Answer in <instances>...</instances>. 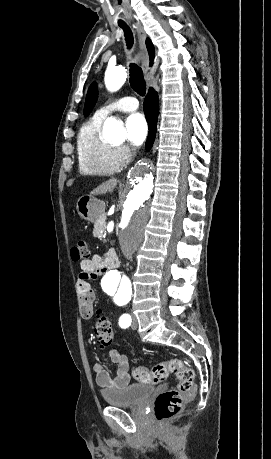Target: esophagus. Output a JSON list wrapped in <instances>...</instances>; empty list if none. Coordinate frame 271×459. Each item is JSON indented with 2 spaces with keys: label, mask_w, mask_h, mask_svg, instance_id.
Here are the masks:
<instances>
[{
  "label": "esophagus",
  "mask_w": 271,
  "mask_h": 459,
  "mask_svg": "<svg viewBox=\"0 0 271 459\" xmlns=\"http://www.w3.org/2000/svg\"><path fill=\"white\" fill-rule=\"evenodd\" d=\"M135 39L139 43V48L134 52V55L136 56V59L138 60V68L143 69L144 73L147 74L148 69L151 68V61L146 60L145 56L143 55V51L145 49V39H146V33L141 24L135 23Z\"/></svg>",
  "instance_id": "34e87169"
}]
</instances>
